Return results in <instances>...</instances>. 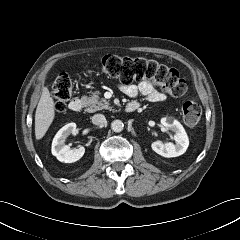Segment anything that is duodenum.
Masks as SVG:
<instances>
[{
    "instance_id": "410a0bca",
    "label": "duodenum",
    "mask_w": 240,
    "mask_h": 240,
    "mask_svg": "<svg viewBox=\"0 0 240 240\" xmlns=\"http://www.w3.org/2000/svg\"><path fill=\"white\" fill-rule=\"evenodd\" d=\"M139 104L136 102H130L125 106V111L128 113L134 112L138 109ZM82 108V101L79 98H74L69 103V109L72 112H79Z\"/></svg>"
}]
</instances>
